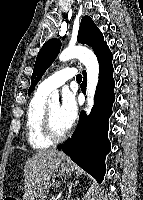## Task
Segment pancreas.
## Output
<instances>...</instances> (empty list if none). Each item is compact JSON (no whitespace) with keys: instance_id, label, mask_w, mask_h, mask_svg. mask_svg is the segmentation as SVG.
Listing matches in <instances>:
<instances>
[{"instance_id":"1","label":"pancreas","mask_w":143,"mask_h":200,"mask_svg":"<svg viewBox=\"0 0 143 200\" xmlns=\"http://www.w3.org/2000/svg\"><path fill=\"white\" fill-rule=\"evenodd\" d=\"M50 200H56L55 198H51Z\"/></svg>"}]
</instances>
